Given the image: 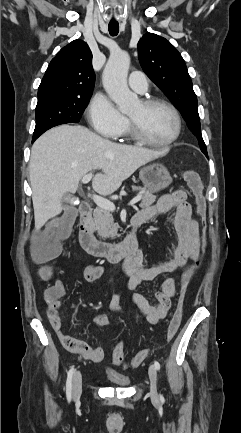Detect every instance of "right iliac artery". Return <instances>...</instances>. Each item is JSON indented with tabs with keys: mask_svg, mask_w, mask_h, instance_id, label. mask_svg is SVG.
<instances>
[{
	"mask_svg": "<svg viewBox=\"0 0 241 433\" xmlns=\"http://www.w3.org/2000/svg\"><path fill=\"white\" fill-rule=\"evenodd\" d=\"M74 367H71V369L67 373V381H66V396L67 399L70 401L72 397V377L74 374Z\"/></svg>",
	"mask_w": 241,
	"mask_h": 433,
	"instance_id": "1",
	"label": "right iliac artery"
}]
</instances>
